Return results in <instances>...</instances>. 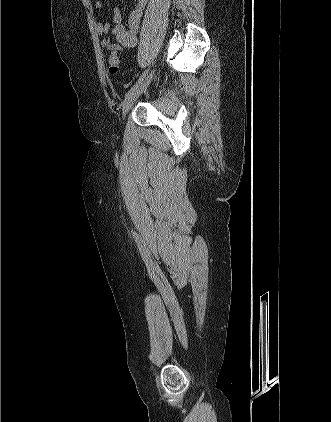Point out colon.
<instances>
[{
	"instance_id": "colon-1",
	"label": "colon",
	"mask_w": 331,
	"mask_h": 422,
	"mask_svg": "<svg viewBox=\"0 0 331 422\" xmlns=\"http://www.w3.org/2000/svg\"><path fill=\"white\" fill-rule=\"evenodd\" d=\"M108 69L110 73L114 74L119 69V57L116 54H111L108 58Z\"/></svg>"
}]
</instances>
